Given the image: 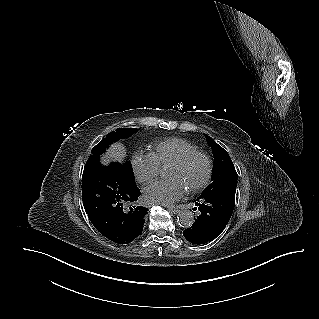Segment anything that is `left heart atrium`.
I'll return each instance as SVG.
<instances>
[{"mask_svg":"<svg viewBox=\"0 0 319 319\" xmlns=\"http://www.w3.org/2000/svg\"><path fill=\"white\" fill-rule=\"evenodd\" d=\"M187 191L186 185L177 178H169L151 184L143 191L147 204L169 205L181 199Z\"/></svg>","mask_w":319,"mask_h":319,"instance_id":"39dd6f15","label":"left heart atrium"}]
</instances>
